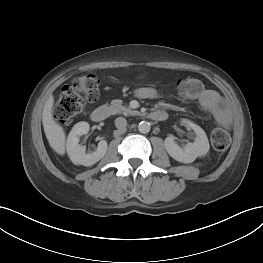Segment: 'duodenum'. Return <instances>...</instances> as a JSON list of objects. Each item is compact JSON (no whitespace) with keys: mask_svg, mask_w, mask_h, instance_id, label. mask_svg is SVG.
Here are the masks:
<instances>
[{"mask_svg":"<svg viewBox=\"0 0 263 263\" xmlns=\"http://www.w3.org/2000/svg\"><path fill=\"white\" fill-rule=\"evenodd\" d=\"M108 113H109V110L106 106H100V107L95 108L91 112L90 116L94 122H102L107 118ZM149 117L155 121H163L167 119L168 115L163 110H156V111L151 112L149 114Z\"/></svg>","mask_w":263,"mask_h":263,"instance_id":"410a0bca","label":"duodenum"}]
</instances>
